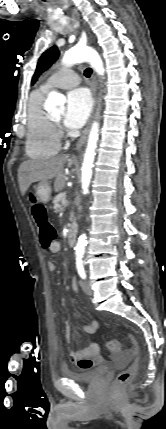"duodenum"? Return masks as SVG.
Segmentation results:
<instances>
[{
    "label": "duodenum",
    "instance_id": "duodenum-1",
    "mask_svg": "<svg viewBox=\"0 0 166 429\" xmlns=\"http://www.w3.org/2000/svg\"><path fill=\"white\" fill-rule=\"evenodd\" d=\"M68 244L70 246H74L76 240V230L74 227L70 228L67 234Z\"/></svg>",
    "mask_w": 166,
    "mask_h": 429
}]
</instances>
